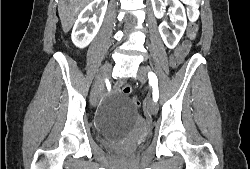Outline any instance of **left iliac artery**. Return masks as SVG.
<instances>
[{
	"label": "left iliac artery",
	"instance_id": "obj_1",
	"mask_svg": "<svg viewBox=\"0 0 250 169\" xmlns=\"http://www.w3.org/2000/svg\"><path fill=\"white\" fill-rule=\"evenodd\" d=\"M148 78H149V84L152 86L153 88V100L155 102L158 101L159 98V90H158V79L157 76L155 75V73L153 72H149L148 73Z\"/></svg>",
	"mask_w": 250,
	"mask_h": 169
}]
</instances>
